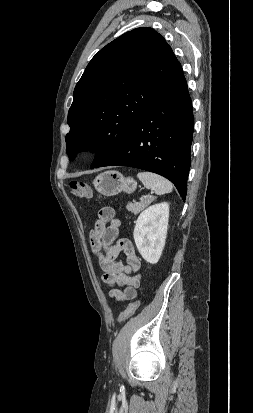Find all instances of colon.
Listing matches in <instances>:
<instances>
[{"mask_svg":"<svg viewBox=\"0 0 253 413\" xmlns=\"http://www.w3.org/2000/svg\"><path fill=\"white\" fill-rule=\"evenodd\" d=\"M69 189L71 193L80 199H90L94 196L92 188L81 181H70ZM140 306V301L136 300L128 305V307L119 315L118 322H123L132 317Z\"/></svg>","mask_w":253,"mask_h":413,"instance_id":"5ec220e1","label":"colon"}]
</instances>
